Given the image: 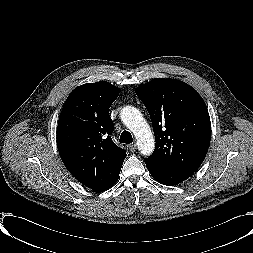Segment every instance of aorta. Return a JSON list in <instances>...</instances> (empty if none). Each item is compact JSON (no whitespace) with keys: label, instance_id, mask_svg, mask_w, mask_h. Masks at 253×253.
<instances>
[{"label":"aorta","instance_id":"762f6f07","mask_svg":"<svg viewBox=\"0 0 253 253\" xmlns=\"http://www.w3.org/2000/svg\"><path fill=\"white\" fill-rule=\"evenodd\" d=\"M120 118L134 134L140 153L144 156L151 155L154 151L155 140L150 126L140 111L133 106H126L121 110Z\"/></svg>","mask_w":253,"mask_h":253}]
</instances>
